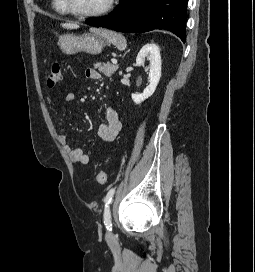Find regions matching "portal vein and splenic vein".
I'll return each instance as SVG.
<instances>
[{"instance_id": "obj_1", "label": "portal vein and splenic vein", "mask_w": 255, "mask_h": 272, "mask_svg": "<svg viewBox=\"0 0 255 272\" xmlns=\"http://www.w3.org/2000/svg\"><path fill=\"white\" fill-rule=\"evenodd\" d=\"M112 63H113V64H116V63H117V60H116V59H112Z\"/></svg>"}]
</instances>
